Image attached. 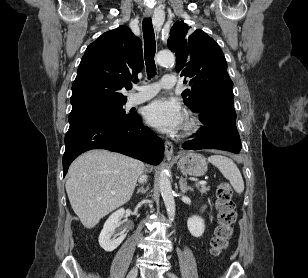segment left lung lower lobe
I'll use <instances>...</instances> for the list:
<instances>
[{
  "label": "left lung lower lobe",
  "instance_id": "obj_1",
  "mask_svg": "<svg viewBox=\"0 0 308 278\" xmlns=\"http://www.w3.org/2000/svg\"><path fill=\"white\" fill-rule=\"evenodd\" d=\"M200 120L205 126L198 130L194 140L183 144L184 149H220L233 153L241 150V140L236 128L233 98L216 99L200 110Z\"/></svg>",
  "mask_w": 308,
  "mask_h": 278
}]
</instances>
